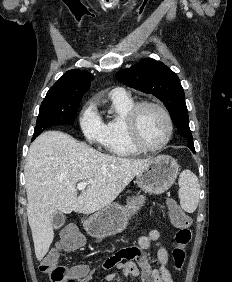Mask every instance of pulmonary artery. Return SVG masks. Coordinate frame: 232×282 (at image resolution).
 Instances as JSON below:
<instances>
[{
  "instance_id": "obj_1",
  "label": "pulmonary artery",
  "mask_w": 232,
  "mask_h": 282,
  "mask_svg": "<svg viewBox=\"0 0 232 282\" xmlns=\"http://www.w3.org/2000/svg\"><path fill=\"white\" fill-rule=\"evenodd\" d=\"M112 94L116 96H127L128 92L122 87H117L113 89Z\"/></svg>"
}]
</instances>
